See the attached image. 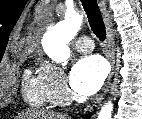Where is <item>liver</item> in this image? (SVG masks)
<instances>
[{
    "instance_id": "6515ba94",
    "label": "liver",
    "mask_w": 142,
    "mask_h": 119,
    "mask_svg": "<svg viewBox=\"0 0 142 119\" xmlns=\"http://www.w3.org/2000/svg\"><path fill=\"white\" fill-rule=\"evenodd\" d=\"M19 119H70L65 114H59L52 111L29 110L18 116Z\"/></svg>"
}]
</instances>
